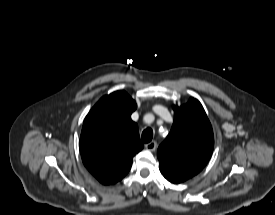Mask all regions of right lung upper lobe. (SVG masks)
Instances as JSON below:
<instances>
[{
	"label": "right lung upper lobe",
	"mask_w": 275,
	"mask_h": 215,
	"mask_svg": "<svg viewBox=\"0 0 275 215\" xmlns=\"http://www.w3.org/2000/svg\"><path fill=\"white\" fill-rule=\"evenodd\" d=\"M136 107L125 91H116L102 97L84 120L79 144L82 161L104 185L120 181L129 172L133 156L144 147L131 120Z\"/></svg>",
	"instance_id": "cb5924a9"
}]
</instances>
